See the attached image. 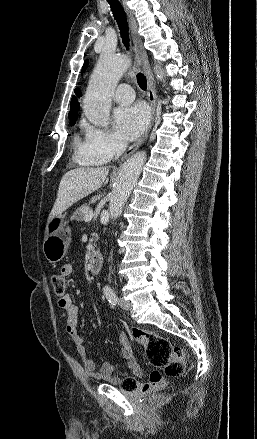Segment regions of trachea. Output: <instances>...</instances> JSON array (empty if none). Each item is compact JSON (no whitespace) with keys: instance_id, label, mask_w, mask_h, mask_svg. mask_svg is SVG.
<instances>
[{"instance_id":"3493384b","label":"trachea","mask_w":257,"mask_h":439,"mask_svg":"<svg viewBox=\"0 0 257 439\" xmlns=\"http://www.w3.org/2000/svg\"><path fill=\"white\" fill-rule=\"evenodd\" d=\"M110 4L111 10L113 12V16L118 24L120 29V34L123 40L124 45L128 48L129 46V33H128V23L126 19L125 12L119 3L118 0H107ZM137 83L141 89L145 90L147 88V80L144 74H137Z\"/></svg>"}]
</instances>
